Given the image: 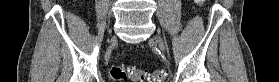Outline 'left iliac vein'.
Segmentation results:
<instances>
[{
    "label": "left iliac vein",
    "instance_id": "obj_1",
    "mask_svg": "<svg viewBox=\"0 0 279 82\" xmlns=\"http://www.w3.org/2000/svg\"><path fill=\"white\" fill-rule=\"evenodd\" d=\"M155 40L158 42V45L161 48V50H165V46L162 39L159 36H155Z\"/></svg>",
    "mask_w": 279,
    "mask_h": 82
}]
</instances>
